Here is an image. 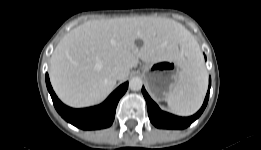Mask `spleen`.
Returning a JSON list of instances; mask_svg holds the SVG:
<instances>
[{
	"label": "spleen",
	"mask_w": 261,
	"mask_h": 150,
	"mask_svg": "<svg viewBox=\"0 0 261 150\" xmlns=\"http://www.w3.org/2000/svg\"><path fill=\"white\" fill-rule=\"evenodd\" d=\"M187 53L188 62L177 85L166 98L170 110L180 116L192 115L200 109L208 84L199 47L189 48Z\"/></svg>",
	"instance_id": "1"
}]
</instances>
